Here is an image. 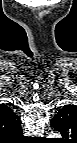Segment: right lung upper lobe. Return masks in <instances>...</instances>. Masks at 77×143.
<instances>
[{
  "instance_id": "obj_1",
  "label": "right lung upper lobe",
  "mask_w": 77,
  "mask_h": 143,
  "mask_svg": "<svg viewBox=\"0 0 77 143\" xmlns=\"http://www.w3.org/2000/svg\"><path fill=\"white\" fill-rule=\"evenodd\" d=\"M0 132L10 137L22 134L20 118L6 105H0Z\"/></svg>"
}]
</instances>
